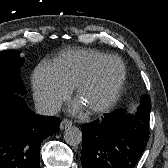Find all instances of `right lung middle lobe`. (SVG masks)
<instances>
[{
    "mask_svg": "<svg viewBox=\"0 0 168 168\" xmlns=\"http://www.w3.org/2000/svg\"><path fill=\"white\" fill-rule=\"evenodd\" d=\"M16 50L0 52V90L13 93H25L20 68L24 60Z\"/></svg>",
    "mask_w": 168,
    "mask_h": 168,
    "instance_id": "dd1d6c3e",
    "label": "right lung middle lobe"
}]
</instances>
